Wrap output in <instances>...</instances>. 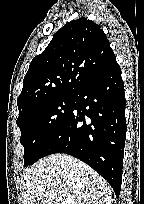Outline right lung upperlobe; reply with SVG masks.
<instances>
[{
	"mask_svg": "<svg viewBox=\"0 0 144 204\" xmlns=\"http://www.w3.org/2000/svg\"><path fill=\"white\" fill-rule=\"evenodd\" d=\"M115 62L100 25L85 17L68 22L31 61L17 99L19 115L54 97L75 96Z\"/></svg>",
	"mask_w": 144,
	"mask_h": 204,
	"instance_id": "1",
	"label": "right lung upper lobe"
}]
</instances>
